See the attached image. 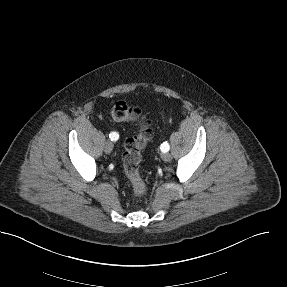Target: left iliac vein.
Segmentation results:
<instances>
[{
	"instance_id": "4c4485c4",
	"label": "left iliac vein",
	"mask_w": 287,
	"mask_h": 287,
	"mask_svg": "<svg viewBox=\"0 0 287 287\" xmlns=\"http://www.w3.org/2000/svg\"><path fill=\"white\" fill-rule=\"evenodd\" d=\"M162 159L164 161H170L172 159V156H171L170 153L165 152V153L162 154Z\"/></svg>"
}]
</instances>
